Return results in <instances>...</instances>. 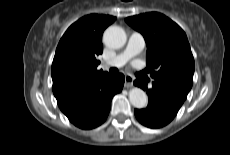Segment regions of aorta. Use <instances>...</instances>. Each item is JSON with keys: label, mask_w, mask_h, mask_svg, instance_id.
Segmentation results:
<instances>
[{"label": "aorta", "mask_w": 230, "mask_h": 155, "mask_svg": "<svg viewBox=\"0 0 230 155\" xmlns=\"http://www.w3.org/2000/svg\"><path fill=\"white\" fill-rule=\"evenodd\" d=\"M126 33L123 28L119 26H110L108 27L104 34L103 40L104 43L114 49H118L124 46L126 43ZM129 100L131 104L136 108H144L147 106L148 97L146 93L140 88H132L129 91Z\"/></svg>", "instance_id": "762f6f07"}]
</instances>
